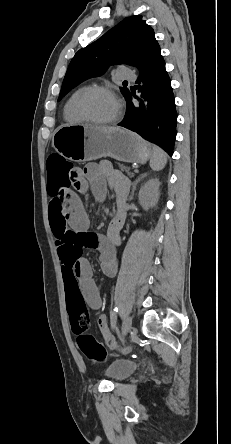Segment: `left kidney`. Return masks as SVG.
Here are the masks:
<instances>
[{
    "instance_id": "left-kidney-1",
    "label": "left kidney",
    "mask_w": 231,
    "mask_h": 444,
    "mask_svg": "<svg viewBox=\"0 0 231 444\" xmlns=\"http://www.w3.org/2000/svg\"><path fill=\"white\" fill-rule=\"evenodd\" d=\"M159 186L160 182L158 179H150L141 187L139 203L145 210L157 205L160 196Z\"/></svg>"
}]
</instances>
